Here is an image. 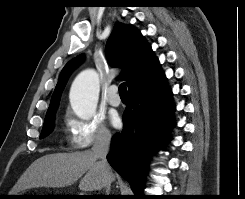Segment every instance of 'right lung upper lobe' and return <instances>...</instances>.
I'll return each mask as SVG.
<instances>
[{"instance_id": "right-lung-upper-lobe-1", "label": "right lung upper lobe", "mask_w": 245, "mask_h": 199, "mask_svg": "<svg viewBox=\"0 0 245 199\" xmlns=\"http://www.w3.org/2000/svg\"><path fill=\"white\" fill-rule=\"evenodd\" d=\"M106 56L112 66L123 69L120 78L126 80L128 93L146 91L165 78L159 60L142 34L123 23L115 25L106 44ZM83 60L84 55H79L64 66L46 116L56 112L70 74Z\"/></svg>"}]
</instances>
